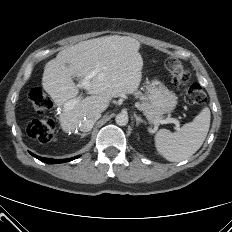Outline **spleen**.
Here are the masks:
<instances>
[{
  "instance_id": "spleen-1",
  "label": "spleen",
  "mask_w": 232,
  "mask_h": 232,
  "mask_svg": "<svg viewBox=\"0 0 232 232\" xmlns=\"http://www.w3.org/2000/svg\"><path fill=\"white\" fill-rule=\"evenodd\" d=\"M210 117V110L205 107L192 122L184 124L177 132L160 129L154 138L158 153L171 162L189 158L205 141Z\"/></svg>"
}]
</instances>
